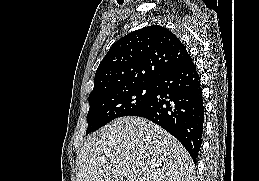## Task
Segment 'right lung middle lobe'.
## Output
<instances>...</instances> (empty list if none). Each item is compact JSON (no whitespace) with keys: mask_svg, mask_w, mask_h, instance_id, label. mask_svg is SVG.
I'll list each match as a JSON object with an SVG mask.
<instances>
[{"mask_svg":"<svg viewBox=\"0 0 259 181\" xmlns=\"http://www.w3.org/2000/svg\"><path fill=\"white\" fill-rule=\"evenodd\" d=\"M153 83L108 89L89 96L86 135L115 118L128 116L142 107L153 92Z\"/></svg>","mask_w":259,"mask_h":181,"instance_id":"1","label":"right lung middle lobe"}]
</instances>
